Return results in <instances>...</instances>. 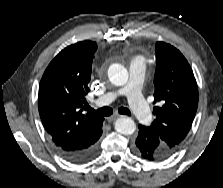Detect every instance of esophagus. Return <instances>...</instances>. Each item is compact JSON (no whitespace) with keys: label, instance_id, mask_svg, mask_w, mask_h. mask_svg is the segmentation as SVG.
<instances>
[{"label":"esophagus","instance_id":"obj_1","mask_svg":"<svg viewBox=\"0 0 223 188\" xmlns=\"http://www.w3.org/2000/svg\"><path fill=\"white\" fill-rule=\"evenodd\" d=\"M119 117H122V115H119V114H115V115H113V116H111V117H108L107 118V121L108 122H113V121H115L117 118H119Z\"/></svg>","mask_w":223,"mask_h":188}]
</instances>
